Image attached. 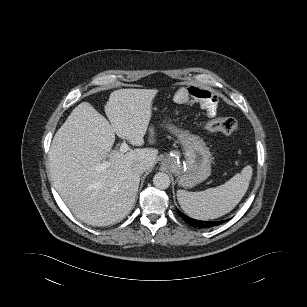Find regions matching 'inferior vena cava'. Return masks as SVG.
<instances>
[{
	"label": "inferior vena cava",
	"instance_id": "602c4592",
	"mask_svg": "<svg viewBox=\"0 0 307 307\" xmlns=\"http://www.w3.org/2000/svg\"><path fill=\"white\" fill-rule=\"evenodd\" d=\"M133 170L138 174H142L145 171V165L143 163H137L133 166Z\"/></svg>",
	"mask_w": 307,
	"mask_h": 307
}]
</instances>
